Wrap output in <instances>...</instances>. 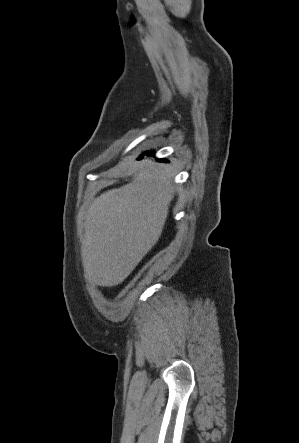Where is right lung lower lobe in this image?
<instances>
[{
  "mask_svg": "<svg viewBox=\"0 0 299 443\" xmlns=\"http://www.w3.org/2000/svg\"><path fill=\"white\" fill-rule=\"evenodd\" d=\"M143 155H147V156H149L150 155V153L149 152H145V153H143L138 159H141L142 157H143ZM151 155L152 156H154V153L153 152H151ZM158 161H164V162H167L166 160H164V159H159Z\"/></svg>",
  "mask_w": 299,
  "mask_h": 443,
  "instance_id": "1",
  "label": "right lung lower lobe"
}]
</instances>
